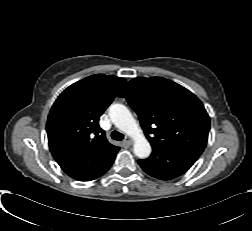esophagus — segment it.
Segmentation results:
<instances>
[{"label": "esophagus", "mask_w": 252, "mask_h": 231, "mask_svg": "<svg viewBox=\"0 0 252 231\" xmlns=\"http://www.w3.org/2000/svg\"><path fill=\"white\" fill-rule=\"evenodd\" d=\"M124 144L126 145H131L132 144V139L129 136H126L124 139Z\"/></svg>", "instance_id": "esophagus-1"}]
</instances>
